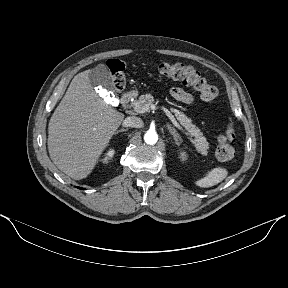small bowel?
<instances>
[{"mask_svg": "<svg viewBox=\"0 0 288 288\" xmlns=\"http://www.w3.org/2000/svg\"><path fill=\"white\" fill-rule=\"evenodd\" d=\"M171 96L184 104H192L194 102L193 96L180 87H174L170 90Z\"/></svg>", "mask_w": 288, "mask_h": 288, "instance_id": "small-bowel-1", "label": "small bowel"}]
</instances>
